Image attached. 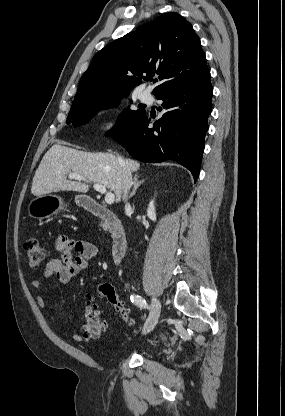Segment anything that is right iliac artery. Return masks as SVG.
Segmentation results:
<instances>
[{
  "mask_svg": "<svg viewBox=\"0 0 285 416\" xmlns=\"http://www.w3.org/2000/svg\"><path fill=\"white\" fill-rule=\"evenodd\" d=\"M131 302L137 305L140 308L152 309V307L146 302L144 298L139 295H131Z\"/></svg>",
  "mask_w": 285,
  "mask_h": 416,
  "instance_id": "right-iliac-artery-1",
  "label": "right iliac artery"
}]
</instances>
